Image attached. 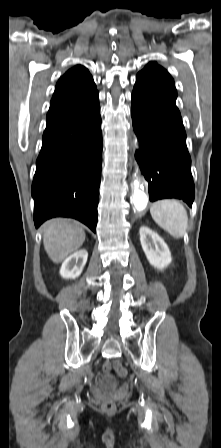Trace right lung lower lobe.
<instances>
[{"mask_svg":"<svg viewBox=\"0 0 221 448\" xmlns=\"http://www.w3.org/2000/svg\"><path fill=\"white\" fill-rule=\"evenodd\" d=\"M32 183L34 224L71 217L96 232L102 165L98 92L50 119Z\"/></svg>","mask_w":221,"mask_h":448,"instance_id":"obj_1","label":"right lung lower lobe"}]
</instances>
